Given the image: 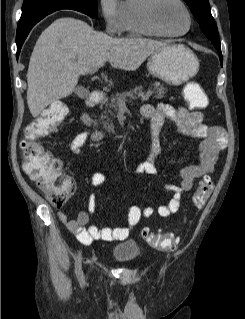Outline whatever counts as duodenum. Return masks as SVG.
Masks as SVG:
<instances>
[{"label":"duodenum","mask_w":245,"mask_h":319,"mask_svg":"<svg viewBox=\"0 0 245 319\" xmlns=\"http://www.w3.org/2000/svg\"><path fill=\"white\" fill-rule=\"evenodd\" d=\"M102 101H103L102 93L98 90H93V91H91L90 95L88 96V98L86 100V107L87 108L95 107V106L101 104ZM82 122L84 123V125L93 129V131H94L93 132V140L99 141L101 138V134L96 129L94 119L88 113H85L82 116Z\"/></svg>","instance_id":"duodenum-1"}]
</instances>
